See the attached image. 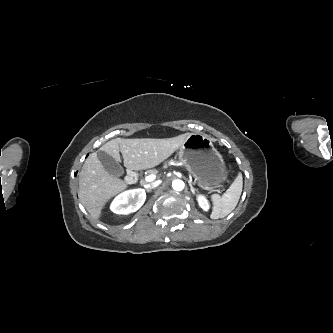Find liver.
Here are the masks:
<instances>
[{"label": "liver", "instance_id": "6515ba94", "mask_svg": "<svg viewBox=\"0 0 333 333\" xmlns=\"http://www.w3.org/2000/svg\"><path fill=\"white\" fill-rule=\"evenodd\" d=\"M190 133L167 139L116 138L105 143L99 150L120 161L122 153L124 166L131 170L153 168L170 157L182 146ZM127 188L120 178L110 175L97 157L92 153L84 162L79 174V198L94 219L101 217L102 210L109 199Z\"/></svg>", "mask_w": 333, "mask_h": 333}]
</instances>
